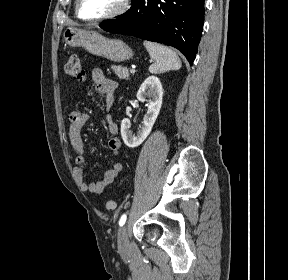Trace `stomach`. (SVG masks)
<instances>
[{"mask_svg": "<svg viewBox=\"0 0 288 280\" xmlns=\"http://www.w3.org/2000/svg\"><path fill=\"white\" fill-rule=\"evenodd\" d=\"M63 38L71 47H83L89 53L113 62H122L133 57L132 49L120 39H109L93 30L69 27Z\"/></svg>", "mask_w": 288, "mask_h": 280, "instance_id": "0dacf381", "label": "stomach"}]
</instances>
